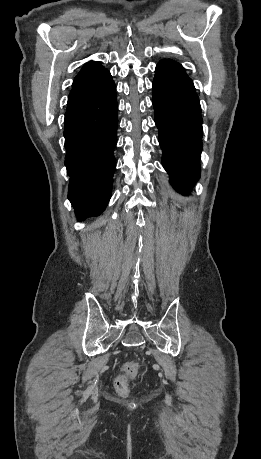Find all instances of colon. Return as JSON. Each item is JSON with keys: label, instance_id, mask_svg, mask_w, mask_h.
I'll list each match as a JSON object with an SVG mask.
<instances>
[{"label": "colon", "instance_id": "1", "mask_svg": "<svg viewBox=\"0 0 261 459\" xmlns=\"http://www.w3.org/2000/svg\"><path fill=\"white\" fill-rule=\"evenodd\" d=\"M139 367L138 362L132 361L126 363L120 370L119 375L115 379V390L121 396L128 394V383L130 378L134 375Z\"/></svg>", "mask_w": 261, "mask_h": 459}]
</instances>
